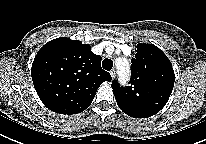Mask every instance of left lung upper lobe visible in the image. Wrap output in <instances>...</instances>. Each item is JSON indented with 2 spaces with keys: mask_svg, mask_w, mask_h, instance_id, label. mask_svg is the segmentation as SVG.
Wrapping results in <instances>:
<instances>
[{
  "mask_svg": "<svg viewBox=\"0 0 206 144\" xmlns=\"http://www.w3.org/2000/svg\"><path fill=\"white\" fill-rule=\"evenodd\" d=\"M130 85L120 87L115 80L112 89L120 109L135 118L157 114L167 103L174 87L175 75L170 60L156 46L138 44L131 60Z\"/></svg>",
  "mask_w": 206,
  "mask_h": 144,
  "instance_id": "left-lung-upper-lobe-1",
  "label": "left lung upper lobe"
}]
</instances>
